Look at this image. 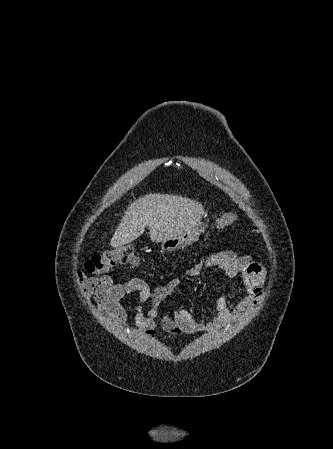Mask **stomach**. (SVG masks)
<instances>
[{
	"label": "stomach",
	"instance_id": "stomach-1",
	"mask_svg": "<svg viewBox=\"0 0 333 449\" xmlns=\"http://www.w3.org/2000/svg\"><path fill=\"white\" fill-rule=\"evenodd\" d=\"M205 230V225L201 222V219L191 226L190 228L184 230L177 236L170 237L162 241L161 249L162 251H174L176 249L184 248L185 246L195 242L199 239V236Z\"/></svg>",
	"mask_w": 333,
	"mask_h": 449
}]
</instances>
